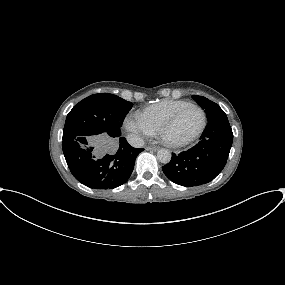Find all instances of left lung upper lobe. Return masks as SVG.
Instances as JSON below:
<instances>
[{
  "label": "left lung upper lobe",
  "mask_w": 285,
  "mask_h": 285,
  "mask_svg": "<svg viewBox=\"0 0 285 285\" xmlns=\"http://www.w3.org/2000/svg\"><path fill=\"white\" fill-rule=\"evenodd\" d=\"M192 98L197 102V104L205 110V113L207 115V120H211L214 118H219V117H225L226 114L223 112V110L219 107L218 104L210 101L209 99L203 97V96H198V95H193Z\"/></svg>",
  "instance_id": "1"
}]
</instances>
